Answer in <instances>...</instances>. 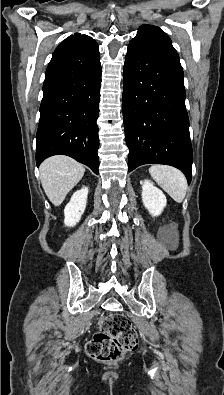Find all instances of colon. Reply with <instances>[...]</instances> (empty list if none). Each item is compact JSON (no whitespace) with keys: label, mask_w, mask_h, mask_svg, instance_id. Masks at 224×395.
I'll return each instance as SVG.
<instances>
[{"label":"colon","mask_w":224,"mask_h":395,"mask_svg":"<svg viewBox=\"0 0 224 395\" xmlns=\"http://www.w3.org/2000/svg\"><path fill=\"white\" fill-rule=\"evenodd\" d=\"M138 345L131 322L121 314H109L99 322V329L86 346L90 358L112 362L135 350Z\"/></svg>","instance_id":"1"}]
</instances>
